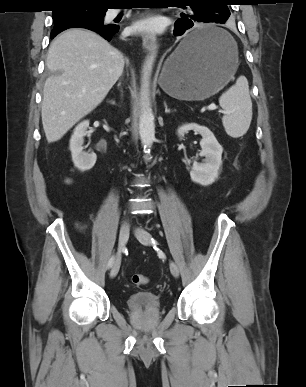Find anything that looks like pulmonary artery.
<instances>
[{"label":"pulmonary artery","mask_w":306,"mask_h":387,"mask_svg":"<svg viewBox=\"0 0 306 387\" xmlns=\"http://www.w3.org/2000/svg\"><path fill=\"white\" fill-rule=\"evenodd\" d=\"M119 13V10H112L109 12V17H114Z\"/></svg>","instance_id":"e3ab8cb5"}]
</instances>
